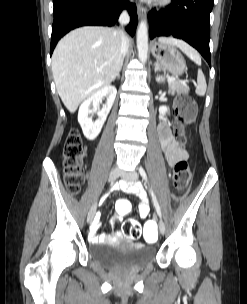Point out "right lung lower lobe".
I'll use <instances>...</instances> for the list:
<instances>
[{"mask_svg": "<svg viewBox=\"0 0 247 304\" xmlns=\"http://www.w3.org/2000/svg\"><path fill=\"white\" fill-rule=\"evenodd\" d=\"M53 5L50 55L59 39L70 30L86 25L112 26L125 8L131 17L126 30L131 36L136 31V6L128 0H53Z\"/></svg>", "mask_w": 247, "mask_h": 304, "instance_id": "98d812e1", "label": "right lung lower lobe"}]
</instances>
